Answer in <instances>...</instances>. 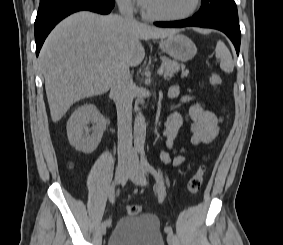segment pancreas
Instances as JSON below:
<instances>
[{"label": "pancreas", "instance_id": "pancreas-1", "mask_svg": "<svg viewBox=\"0 0 283 245\" xmlns=\"http://www.w3.org/2000/svg\"><path fill=\"white\" fill-rule=\"evenodd\" d=\"M162 65L161 68L163 70V74L165 77L171 78L175 73L182 70V77H185L188 75V71L185 70L184 65H180L176 61H172L169 58L161 57Z\"/></svg>", "mask_w": 283, "mask_h": 245}]
</instances>
